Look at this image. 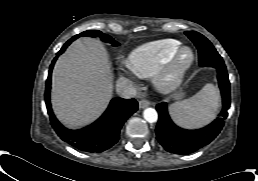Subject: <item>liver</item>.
<instances>
[{
    "mask_svg": "<svg viewBox=\"0 0 258 181\" xmlns=\"http://www.w3.org/2000/svg\"><path fill=\"white\" fill-rule=\"evenodd\" d=\"M112 81L100 42L88 37L73 42L53 70L51 101L57 118L70 128L94 121L112 97Z\"/></svg>",
    "mask_w": 258,
    "mask_h": 181,
    "instance_id": "obj_1",
    "label": "liver"
}]
</instances>
